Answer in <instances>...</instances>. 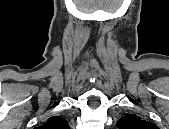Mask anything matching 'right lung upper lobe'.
Returning <instances> with one entry per match:
<instances>
[{
	"label": "right lung upper lobe",
	"mask_w": 169,
	"mask_h": 129,
	"mask_svg": "<svg viewBox=\"0 0 169 129\" xmlns=\"http://www.w3.org/2000/svg\"><path fill=\"white\" fill-rule=\"evenodd\" d=\"M43 129H68V123L65 119L54 116L41 126Z\"/></svg>",
	"instance_id": "1"
}]
</instances>
